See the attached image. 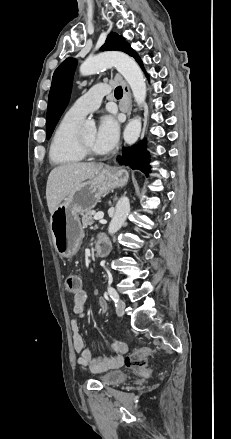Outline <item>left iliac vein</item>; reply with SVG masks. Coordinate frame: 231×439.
<instances>
[{"mask_svg":"<svg viewBox=\"0 0 231 439\" xmlns=\"http://www.w3.org/2000/svg\"><path fill=\"white\" fill-rule=\"evenodd\" d=\"M125 302L123 300H118L117 302V313L119 316H123L125 312Z\"/></svg>","mask_w":231,"mask_h":439,"instance_id":"left-iliac-vein-1","label":"left iliac vein"}]
</instances>
